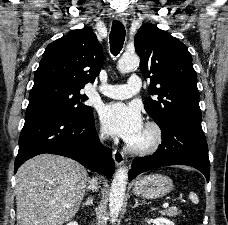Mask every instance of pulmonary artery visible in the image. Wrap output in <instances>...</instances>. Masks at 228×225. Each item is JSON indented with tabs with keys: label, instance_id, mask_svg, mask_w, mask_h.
I'll list each match as a JSON object with an SVG mask.
<instances>
[{
	"label": "pulmonary artery",
	"instance_id": "e3ab8cb5",
	"mask_svg": "<svg viewBox=\"0 0 228 225\" xmlns=\"http://www.w3.org/2000/svg\"><path fill=\"white\" fill-rule=\"evenodd\" d=\"M138 76H132L130 80L137 79ZM130 85H111L105 84L99 87V91L110 98L114 99H126L131 97L133 94H138V90H142L141 81H130Z\"/></svg>",
	"mask_w": 228,
	"mask_h": 225
}]
</instances>
